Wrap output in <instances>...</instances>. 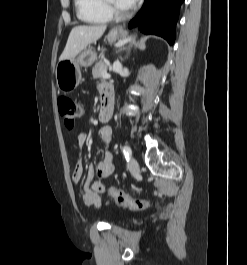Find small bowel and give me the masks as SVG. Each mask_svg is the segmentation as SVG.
Here are the masks:
<instances>
[{
  "label": "small bowel",
  "mask_w": 247,
  "mask_h": 265,
  "mask_svg": "<svg viewBox=\"0 0 247 265\" xmlns=\"http://www.w3.org/2000/svg\"><path fill=\"white\" fill-rule=\"evenodd\" d=\"M110 88L108 84H100L99 89L101 93ZM87 134L80 133L77 137V144L82 149L87 142ZM100 141L105 148V153L96 166L89 165L87 169V178L84 184L82 193V200L87 206H93L99 209L101 206L100 194L104 193L107 189L105 180L110 177L114 172L113 156L108 150L112 140V130L109 127H102L99 130ZM83 164L79 159L72 172V180L74 183H79L83 176ZM95 175L98 177L94 179Z\"/></svg>",
  "instance_id": "obj_1"
}]
</instances>
